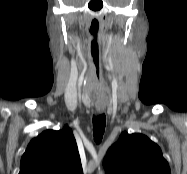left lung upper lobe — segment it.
Wrapping results in <instances>:
<instances>
[{"instance_id": "left-lung-upper-lobe-1", "label": "left lung upper lobe", "mask_w": 187, "mask_h": 174, "mask_svg": "<svg viewBox=\"0 0 187 174\" xmlns=\"http://www.w3.org/2000/svg\"><path fill=\"white\" fill-rule=\"evenodd\" d=\"M106 174H170L157 144L142 134L123 132L107 151Z\"/></svg>"}]
</instances>
